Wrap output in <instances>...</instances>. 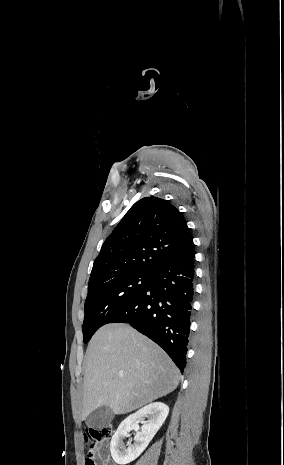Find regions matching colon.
Masks as SVG:
<instances>
[{
	"instance_id": "5ec220e1",
	"label": "colon",
	"mask_w": 284,
	"mask_h": 465,
	"mask_svg": "<svg viewBox=\"0 0 284 465\" xmlns=\"http://www.w3.org/2000/svg\"><path fill=\"white\" fill-rule=\"evenodd\" d=\"M112 434L113 430L111 426L107 424L92 425L88 428L83 440V448L88 455L84 461V465H95L91 451L95 449L98 444L109 439Z\"/></svg>"
}]
</instances>
